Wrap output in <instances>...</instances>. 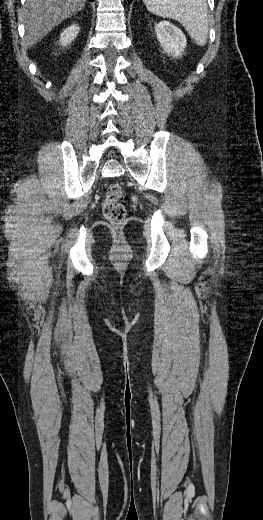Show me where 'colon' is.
Returning a JSON list of instances; mask_svg holds the SVG:
<instances>
[{
	"label": "colon",
	"instance_id": "5ec220e1",
	"mask_svg": "<svg viewBox=\"0 0 263 520\" xmlns=\"http://www.w3.org/2000/svg\"><path fill=\"white\" fill-rule=\"evenodd\" d=\"M123 188L119 183L108 186L102 205L103 215L113 225H121L126 219V208L122 202Z\"/></svg>",
	"mask_w": 263,
	"mask_h": 520
}]
</instances>
